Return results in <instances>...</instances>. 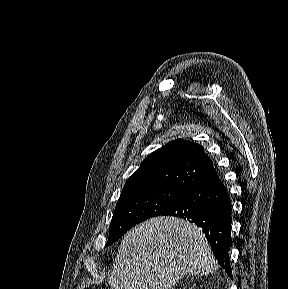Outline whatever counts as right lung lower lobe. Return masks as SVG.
Wrapping results in <instances>:
<instances>
[{
	"label": "right lung lower lobe",
	"mask_w": 288,
	"mask_h": 289,
	"mask_svg": "<svg viewBox=\"0 0 288 289\" xmlns=\"http://www.w3.org/2000/svg\"><path fill=\"white\" fill-rule=\"evenodd\" d=\"M161 215L187 219L203 229L214 256L231 276L228 252L231 239V202L214 170L189 187L184 196Z\"/></svg>",
	"instance_id": "1"
}]
</instances>
